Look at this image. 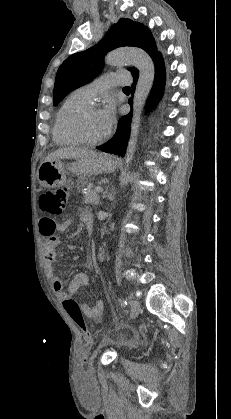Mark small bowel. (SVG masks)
<instances>
[{
    "mask_svg": "<svg viewBox=\"0 0 231 419\" xmlns=\"http://www.w3.org/2000/svg\"><path fill=\"white\" fill-rule=\"evenodd\" d=\"M80 219L86 226L87 230L91 231L93 226V217L91 213L86 210H81ZM71 224L72 221L70 219L56 223L51 218H42L39 222V231L43 236L46 237L44 247L45 261L48 266L49 275L51 277V286L57 296L63 301L68 298H72L80 288L86 286L89 282L88 275L85 272H78L73 276L66 290H64V283L62 279L55 274L53 268V264L57 260V250L60 243L59 237L55 233L66 232L71 227ZM78 306L82 315L92 320L99 319L104 310V303L102 300H97L92 306H88L83 303L78 304Z\"/></svg>",
    "mask_w": 231,
    "mask_h": 419,
    "instance_id": "1",
    "label": "small bowel"
}]
</instances>
